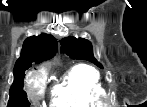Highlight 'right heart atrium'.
Segmentation results:
<instances>
[{
  "instance_id": "obj_1",
  "label": "right heart atrium",
  "mask_w": 147,
  "mask_h": 107,
  "mask_svg": "<svg viewBox=\"0 0 147 107\" xmlns=\"http://www.w3.org/2000/svg\"><path fill=\"white\" fill-rule=\"evenodd\" d=\"M29 92L33 100L40 98L45 92V73H34L29 82Z\"/></svg>"
}]
</instances>
